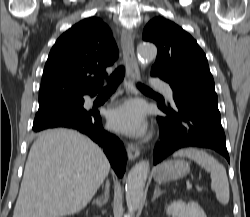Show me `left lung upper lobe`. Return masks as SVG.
I'll list each match as a JSON object with an SVG mask.
<instances>
[{"instance_id": "5c2ea615", "label": "left lung upper lobe", "mask_w": 250, "mask_h": 217, "mask_svg": "<svg viewBox=\"0 0 250 217\" xmlns=\"http://www.w3.org/2000/svg\"><path fill=\"white\" fill-rule=\"evenodd\" d=\"M143 40L153 42L158 48L152 76L168 82L173 91L216 94L206 55L181 27L156 17L144 28Z\"/></svg>"}]
</instances>
